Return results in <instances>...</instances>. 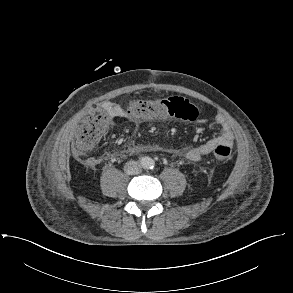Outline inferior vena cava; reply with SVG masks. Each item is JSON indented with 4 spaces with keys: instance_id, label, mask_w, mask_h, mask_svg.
I'll return each instance as SVG.
<instances>
[{
    "instance_id": "inferior-vena-cava-1",
    "label": "inferior vena cava",
    "mask_w": 293,
    "mask_h": 293,
    "mask_svg": "<svg viewBox=\"0 0 293 293\" xmlns=\"http://www.w3.org/2000/svg\"><path fill=\"white\" fill-rule=\"evenodd\" d=\"M124 170L129 175L139 174L141 172V165L136 161H129L125 164Z\"/></svg>"
}]
</instances>
